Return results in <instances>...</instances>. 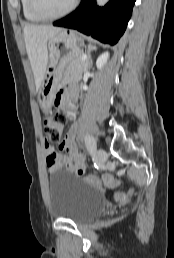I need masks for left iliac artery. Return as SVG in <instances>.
Segmentation results:
<instances>
[{
  "mask_svg": "<svg viewBox=\"0 0 174 258\" xmlns=\"http://www.w3.org/2000/svg\"><path fill=\"white\" fill-rule=\"evenodd\" d=\"M85 145H86L87 150L90 153H95V151H96V142H95V139H94V137L92 135H87L85 137Z\"/></svg>",
  "mask_w": 174,
  "mask_h": 258,
  "instance_id": "obj_1",
  "label": "left iliac artery"
}]
</instances>
